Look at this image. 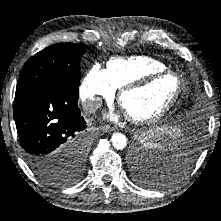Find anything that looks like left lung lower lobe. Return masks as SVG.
<instances>
[{
    "label": "left lung lower lobe",
    "instance_id": "left-lung-lower-lobe-1",
    "mask_svg": "<svg viewBox=\"0 0 221 221\" xmlns=\"http://www.w3.org/2000/svg\"><path fill=\"white\" fill-rule=\"evenodd\" d=\"M203 127L204 117L186 121L180 115L174 119L155 147L147 152L138 147L133 149L131 157L134 166L142 161L152 172L148 178V186L160 187L171 183L192 166L198 154Z\"/></svg>",
    "mask_w": 221,
    "mask_h": 221
}]
</instances>
